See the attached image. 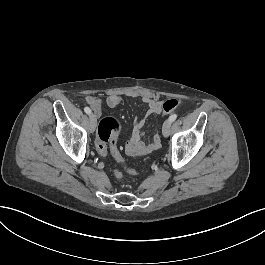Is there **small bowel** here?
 Listing matches in <instances>:
<instances>
[{
	"label": "small bowel",
	"mask_w": 265,
	"mask_h": 265,
	"mask_svg": "<svg viewBox=\"0 0 265 265\" xmlns=\"http://www.w3.org/2000/svg\"><path fill=\"white\" fill-rule=\"evenodd\" d=\"M81 99L84 102L88 99L89 104L95 109V114H100L101 101L98 97L90 96L87 98V96L84 95ZM122 100L123 97L120 93L113 92L107 97L106 103L109 107H116L121 104ZM141 101L147 106V109L144 116L135 123L134 131H137V133L133 134L126 146V151L131 156H144L150 154L160 146V137L158 135H154L151 142H145L143 136L139 132L143 128L147 118L162 112V101L153 98L149 94L141 95Z\"/></svg>",
	"instance_id": "1"
}]
</instances>
